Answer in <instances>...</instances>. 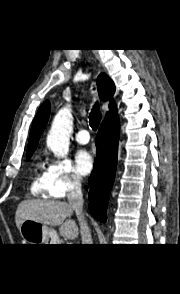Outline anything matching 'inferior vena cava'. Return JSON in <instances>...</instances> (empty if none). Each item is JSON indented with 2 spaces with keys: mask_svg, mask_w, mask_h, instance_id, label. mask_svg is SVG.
Instances as JSON below:
<instances>
[{
  "mask_svg": "<svg viewBox=\"0 0 180 294\" xmlns=\"http://www.w3.org/2000/svg\"><path fill=\"white\" fill-rule=\"evenodd\" d=\"M67 199L70 206L75 210L77 218L80 222L82 244H92L91 231L83 215V195L81 191V182L79 179L74 178L71 181L67 193Z\"/></svg>",
  "mask_w": 180,
  "mask_h": 294,
  "instance_id": "602c4592",
  "label": "inferior vena cava"
}]
</instances>
